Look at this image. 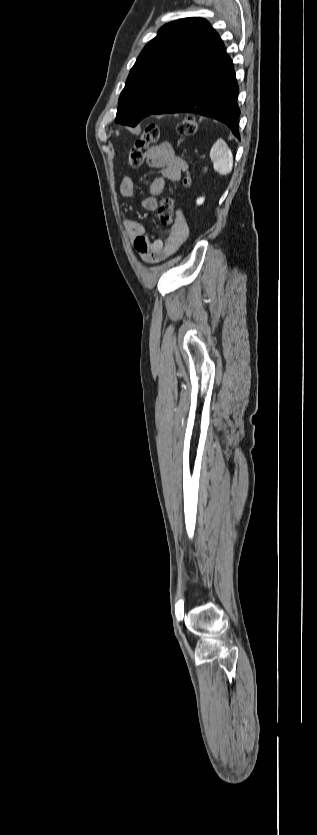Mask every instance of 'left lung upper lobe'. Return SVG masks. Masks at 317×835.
Listing matches in <instances>:
<instances>
[{"mask_svg": "<svg viewBox=\"0 0 317 835\" xmlns=\"http://www.w3.org/2000/svg\"><path fill=\"white\" fill-rule=\"evenodd\" d=\"M216 34L205 19L164 25L142 50L119 97L116 122L136 126L172 94L187 67Z\"/></svg>", "mask_w": 317, "mask_h": 835, "instance_id": "left-lung-upper-lobe-1", "label": "left lung upper lobe"}]
</instances>
